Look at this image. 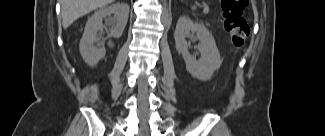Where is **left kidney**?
<instances>
[{
    "instance_id": "left-kidney-1",
    "label": "left kidney",
    "mask_w": 325,
    "mask_h": 136,
    "mask_svg": "<svg viewBox=\"0 0 325 136\" xmlns=\"http://www.w3.org/2000/svg\"><path fill=\"white\" fill-rule=\"evenodd\" d=\"M191 33H196L200 43L197 46L201 54L200 60L191 55L189 45L185 41ZM176 49L182 53L187 71L201 81H208L213 73L221 67L222 60L216 42L210 31L202 23H194L189 17L178 19L175 33Z\"/></svg>"
}]
</instances>
